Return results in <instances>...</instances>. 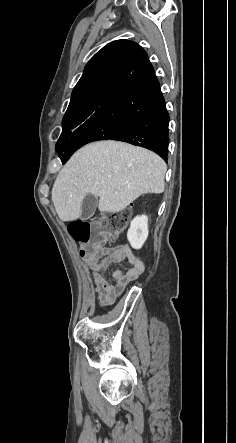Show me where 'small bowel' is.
I'll use <instances>...</instances> for the list:
<instances>
[{
    "label": "small bowel",
    "mask_w": 236,
    "mask_h": 443,
    "mask_svg": "<svg viewBox=\"0 0 236 443\" xmlns=\"http://www.w3.org/2000/svg\"><path fill=\"white\" fill-rule=\"evenodd\" d=\"M126 261L130 267L125 271L113 273L115 284L110 283L105 275L111 263ZM92 270L91 279L94 284L97 300L102 305L112 304L121 296L130 283L139 278L144 271L143 261L127 246L102 247L100 256L89 262Z\"/></svg>",
    "instance_id": "1"
}]
</instances>
